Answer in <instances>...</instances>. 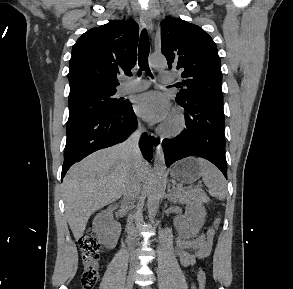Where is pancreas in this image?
<instances>
[{
    "instance_id": "obj_1",
    "label": "pancreas",
    "mask_w": 293,
    "mask_h": 289,
    "mask_svg": "<svg viewBox=\"0 0 293 289\" xmlns=\"http://www.w3.org/2000/svg\"><path fill=\"white\" fill-rule=\"evenodd\" d=\"M172 200L174 202H195L202 204L208 202L209 198L200 188H190L186 191L184 188L178 185L174 188Z\"/></svg>"
}]
</instances>
